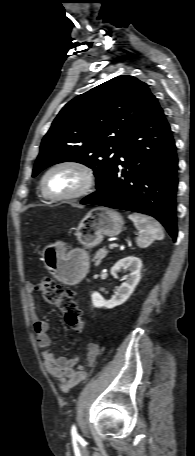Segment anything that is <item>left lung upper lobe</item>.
Masks as SVG:
<instances>
[{"instance_id": "left-lung-upper-lobe-1", "label": "left lung upper lobe", "mask_w": 195, "mask_h": 456, "mask_svg": "<svg viewBox=\"0 0 195 456\" xmlns=\"http://www.w3.org/2000/svg\"><path fill=\"white\" fill-rule=\"evenodd\" d=\"M155 99L146 83L128 75L77 96L62 108L44 136L32 176L53 164L74 161L94 170L98 189L128 132Z\"/></svg>"}]
</instances>
